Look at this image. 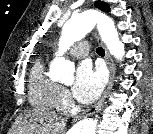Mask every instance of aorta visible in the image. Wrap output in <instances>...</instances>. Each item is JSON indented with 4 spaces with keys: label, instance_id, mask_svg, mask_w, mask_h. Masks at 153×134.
<instances>
[{
    "label": "aorta",
    "instance_id": "1",
    "mask_svg": "<svg viewBox=\"0 0 153 134\" xmlns=\"http://www.w3.org/2000/svg\"><path fill=\"white\" fill-rule=\"evenodd\" d=\"M95 26L110 54L120 60L123 58L124 44L120 41L117 29L110 18L93 10L75 14L62 29L58 52L51 64L52 73L63 83L73 82L75 70L74 65L62 57L63 54L74 42L91 32ZM96 124L97 121L93 119L82 120L74 126L73 134H96Z\"/></svg>",
    "mask_w": 153,
    "mask_h": 134
}]
</instances>
